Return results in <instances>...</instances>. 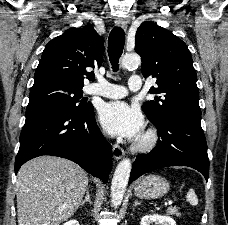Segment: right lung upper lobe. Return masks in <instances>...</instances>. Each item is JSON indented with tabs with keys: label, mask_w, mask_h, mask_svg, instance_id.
<instances>
[{
	"label": "right lung upper lobe",
	"mask_w": 228,
	"mask_h": 225,
	"mask_svg": "<svg viewBox=\"0 0 228 225\" xmlns=\"http://www.w3.org/2000/svg\"><path fill=\"white\" fill-rule=\"evenodd\" d=\"M104 40L92 24L70 28L47 43L35 71L34 85L60 82L82 88L84 76L94 80L87 67H99L103 62Z\"/></svg>",
	"instance_id": "cb5924a9"
}]
</instances>
